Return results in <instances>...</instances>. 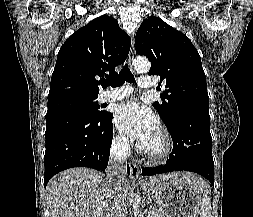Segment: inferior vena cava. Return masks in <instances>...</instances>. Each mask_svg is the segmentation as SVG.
Here are the masks:
<instances>
[{
    "label": "inferior vena cava",
    "instance_id": "inferior-vena-cava-1",
    "mask_svg": "<svg viewBox=\"0 0 253 217\" xmlns=\"http://www.w3.org/2000/svg\"><path fill=\"white\" fill-rule=\"evenodd\" d=\"M128 153V140L125 138L120 139L111 147L110 158L107 167V176L111 180L110 193L112 196L113 209L117 211L113 217H121L118 208L120 207L122 199V184L126 175L125 161ZM117 177L118 179H114Z\"/></svg>",
    "mask_w": 253,
    "mask_h": 217
}]
</instances>
